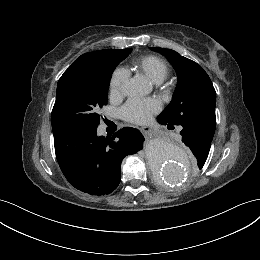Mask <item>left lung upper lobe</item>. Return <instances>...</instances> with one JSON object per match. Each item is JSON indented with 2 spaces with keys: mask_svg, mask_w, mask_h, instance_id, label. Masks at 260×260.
I'll use <instances>...</instances> for the list:
<instances>
[{
  "mask_svg": "<svg viewBox=\"0 0 260 260\" xmlns=\"http://www.w3.org/2000/svg\"><path fill=\"white\" fill-rule=\"evenodd\" d=\"M150 49L168 59L178 79L172 101L159 117L173 125L193 123L214 134L216 92L204 69L174 50L158 47ZM204 164H198L199 169H202Z\"/></svg>",
  "mask_w": 260,
  "mask_h": 260,
  "instance_id": "1",
  "label": "left lung upper lobe"
}]
</instances>
